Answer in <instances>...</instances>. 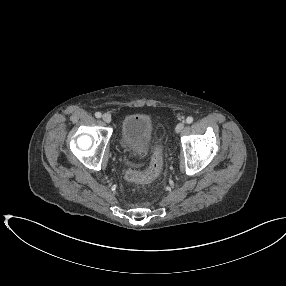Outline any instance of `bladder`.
<instances>
[{
	"label": "bladder",
	"instance_id": "obj_1",
	"mask_svg": "<svg viewBox=\"0 0 286 286\" xmlns=\"http://www.w3.org/2000/svg\"><path fill=\"white\" fill-rule=\"evenodd\" d=\"M153 138V124L146 115H129L121 125V147L134 154H145Z\"/></svg>",
	"mask_w": 286,
	"mask_h": 286
}]
</instances>
